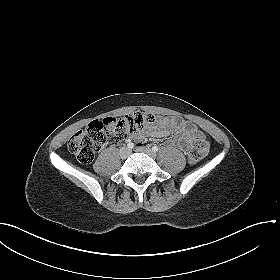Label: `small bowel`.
I'll return each instance as SVG.
<instances>
[{
    "label": "small bowel",
    "instance_id": "1",
    "mask_svg": "<svg viewBox=\"0 0 280 280\" xmlns=\"http://www.w3.org/2000/svg\"><path fill=\"white\" fill-rule=\"evenodd\" d=\"M172 133L179 135L177 142L182 149H186L193 136L197 133V128L191 122L179 118H160L154 126L136 133L133 138L141 141L145 136L165 137Z\"/></svg>",
    "mask_w": 280,
    "mask_h": 280
}]
</instances>
